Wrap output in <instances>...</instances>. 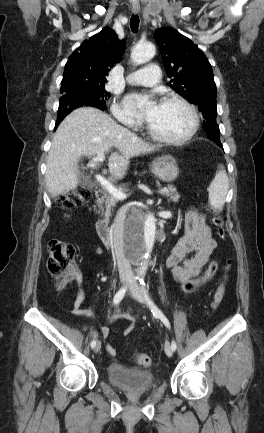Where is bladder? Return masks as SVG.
I'll use <instances>...</instances> for the list:
<instances>
[{
    "instance_id": "bladder-1",
    "label": "bladder",
    "mask_w": 264,
    "mask_h": 433,
    "mask_svg": "<svg viewBox=\"0 0 264 433\" xmlns=\"http://www.w3.org/2000/svg\"><path fill=\"white\" fill-rule=\"evenodd\" d=\"M111 384L130 393H146L152 390L155 381L149 371L112 363L106 369Z\"/></svg>"
}]
</instances>
